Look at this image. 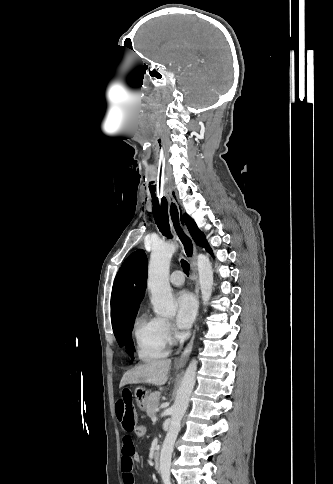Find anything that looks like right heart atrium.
<instances>
[{
    "label": "right heart atrium",
    "mask_w": 333,
    "mask_h": 484,
    "mask_svg": "<svg viewBox=\"0 0 333 484\" xmlns=\"http://www.w3.org/2000/svg\"><path fill=\"white\" fill-rule=\"evenodd\" d=\"M164 331L167 342H172L175 338V329L172 323L168 320H164Z\"/></svg>",
    "instance_id": "obj_1"
}]
</instances>
